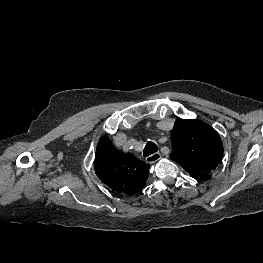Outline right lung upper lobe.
<instances>
[{
  "mask_svg": "<svg viewBox=\"0 0 263 263\" xmlns=\"http://www.w3.org/2000/svg\"><path fill=\"white\" fill-rule=\"evenodd\" d=\"M94 170L99 179L117 193L139 192L148 178L149 165L132 153H123L107 135L97 145Z\"/></svg>",
  "mask_w": 263,
  "mask_h": 263,
  "instance_id": "right-lung-upper-lobe-1",
  "label": "right lung upper lobe"
}]
</instances>
